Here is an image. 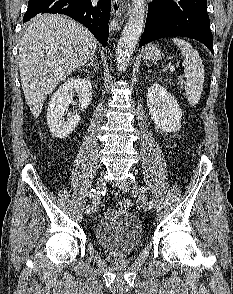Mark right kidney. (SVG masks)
<instances>
[{"instance_id": "obj_1", "label": "right kidney", "mask_w": 233, "mask_h": 294, "mask_svg": "<svg viewBox=\"0 0 233 294\" xmlns=\"http://www.w3.org/2000/svg\"><path fill=\"white\" fill-rule=\"evenodd\" d=\"M74 92L79 94L78 105L81 109H86L92 101V85L88 78H70L57 89L47 110L48 127L57 138L69 136L80 122L78 111L68 113L67 118H63L66 107L73 101Z\"/></svg>"}]
</instances>
